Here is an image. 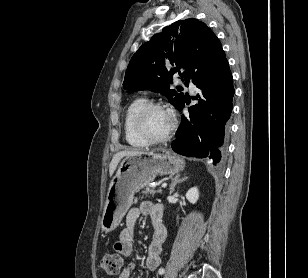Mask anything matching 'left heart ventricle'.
<instances>
[{"label":"left heart ventricle","mask_w":308,"mask_h":278,"mask_svg":"<svg viewBox=\"0 0 308 278\" xmlns=\"http://www.w3.org/2000/svg\"><path fill=\"white\" fill-rule=\"evenodd\" d=\"M145 127L153 137H161L170 127L171 119L166 110H151L145 117Z\"/></svg>","instance_id":"left-heart-ventricle-1"}]
</instances>
